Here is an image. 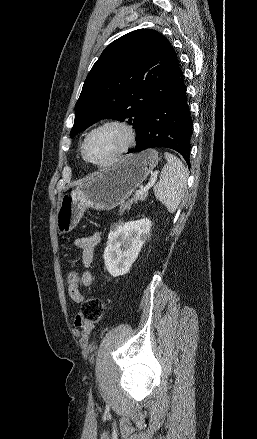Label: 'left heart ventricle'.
<instances>
[{
    "instance_id": "obj_1",
    "label": "left heart ventricle",
    "mask_w": 257,
    "mask_h": 439,
    "mask_svg": "<svg viewBox=\"0 0 257 439\" xmlns=\"http://www.w3.org/2000/svg\"><path fill=\"white\" fill-rule=\"evenodd\" d=\"M124 145V137L119 129L108 127L96 132L87 146L88 157L95 162H103L113 156Z\"/></svg>"
}]
</instances>
